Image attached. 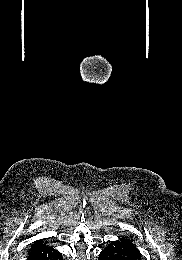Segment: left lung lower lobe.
Listing matches in <instances>:
<instances>
[{
	"label": "left lung lower lobe",
	"mask_w": 182,
	"mask_h": 260,
	"mask_svg": "<svg viewBox=\"0 0 182 260\" xmlns=\"http://www.w3.org/2000/svg\"><path fill=\"white\" fill-rule=\"evenodd\" d=\"M98 260H141V254L132 241L125 237L111 242L101 251Z\"/></svg>",
	"instance_id": "1"
}]
</instances>
